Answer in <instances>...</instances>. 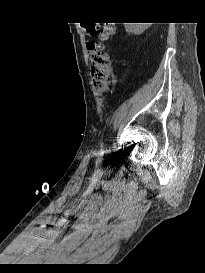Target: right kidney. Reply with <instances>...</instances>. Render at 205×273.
<instances>
[{
    "instance_id": "1",
    "label": "right kidney",
    "mask_w": 205,
    "mask_h": 273,
    "mask_svg": "<svg viewBox=\"0 0 205 273\" xmlns=\"http://www.w3.org/2000/svg\"><path fill=\"white\" fill-rule=\"evenodd\" d=\"M134 25H150V23H125V29L127 32L135 34H141L148 26H134Z\"/></svg>"
}]
</instances>
